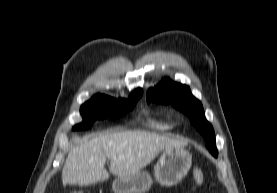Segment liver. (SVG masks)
<instances>
[{
    "instance_id": "obj_1",
    "label": "liver",
    "mask_w": 277,
    "mask_h": 193,
    "mask_svg": "<svg viewBox=\"0 0 277 193\" xmlns=\"http://www.w3.org/2000/svg\"><path fill=\"white\" fill-rule=\"evenodd\" d=\"M185 145L186 140L146 131H107L71 147L62 169V183L85 186L107 180L106 159L110 160V173L128 176L141 171L164 149Z\"/></svg>"
}]
</instances>
